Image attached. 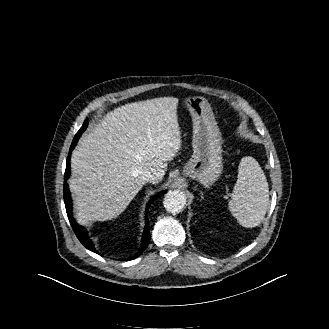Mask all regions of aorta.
<instances>
[{"instance_id":"obj_1","label":"aorta","mask_w":329,"mask_h":329,"mask_svg":"<svg viewBox=\"0 0 329 329\" xmlns=\"http://www.w3.org/2000/svg\"><path fill=\"white\" fill-rule=\"evenodd\" d=\"M165 209L170 213H179L186 204L185 194L179 190L166 193L163 201Z\"/></svg>"}]
</instances>
